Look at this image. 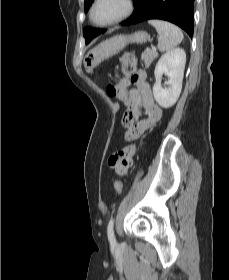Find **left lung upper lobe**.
Masks as SVG:
<instances>
[{"label":"left lung upper lobe","instance_id":"5c2ea615","mask_svg":"<svg viewBox=\"0 0 229 280\" xmlns=\"http://www.w3.org/2000/svg\"><path fill=\"white\" fill-rule=\"evenodd\" d=\"M93 0H85L84 10L87 11ZM137 1V0H136ZM104 30H98L90 27H86L83 30V35L85 37L86 44H88L92 38L98 36L100 33H103Z\"/></svg>","mask_w":229,"mask_h":280}]
</instances>
